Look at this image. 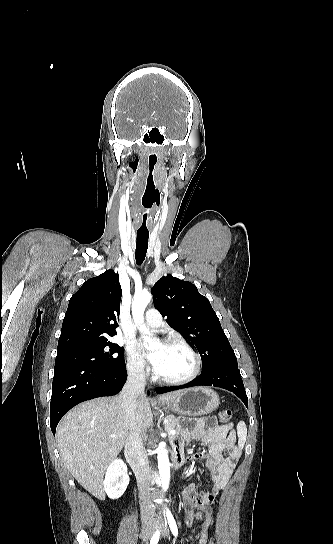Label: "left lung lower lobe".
Instances as JSON below:
<instances>
[{
	"label": "left lung lower lobe",
	"mask_w": 333,
	"mask_h": 544,
	"mask_svg": "<svg viewBox=\"0 0 333 544\" xmlns=\"http://www.w3.org/2000/svg\"><path fill=\"white\" fill-rule=\"evenodd\" d=\"M216 386L233 392L237 395L248 408V398L244 389V384L241 379L240 371L237 364L225 363L215 365L206 371H203L199 377L192 382L177 387L157 388L158 394L188 388L193 386Z\"/></svg>",
	"instance_id": "left-lung-lower-lobe-1"
}]
</instances>
